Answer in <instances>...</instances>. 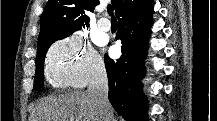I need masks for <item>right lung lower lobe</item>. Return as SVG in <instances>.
Segmentation results:
<instances>
[{
	"mask_svg": "<svg viewBox=\"0 0 217 121\" xmlns=\"http://www.w3.org/2000/svg\"><path fill=\"white\" fill-rule=\"evenodd\" d=\"M153 0H127L117 15L122 56L112 60L105 55L109 80V101L119 115L127 121H146V103L141 92L144 75L143 60L151 33Z\"/></svg>",
	"mask_w": 217,
	"mask_h": 121,
	"instance_id": "obj_1",
	"label": "right lung lower lobe"
}]
</instances>
